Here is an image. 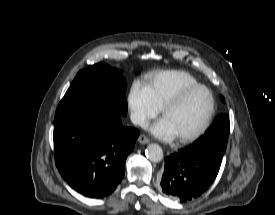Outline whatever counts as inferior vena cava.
Listing matches in <instances>:
<instances>
[{"instance_id": "obj_1", "label": "inferior vena cava", "mask_w": 275, "mask_h": 215, "mask_svg": "<svg viewBox=\"0 0 275 215\" xmlns=\"http://www.w3.org/2000/svg\"><path fill=\"white\" fill-rule=\"evenodd\" d=\"M130 119L133 124L143 125L145 123L144 117L136 113H131Z\"/></svg>"}]
</instances>
